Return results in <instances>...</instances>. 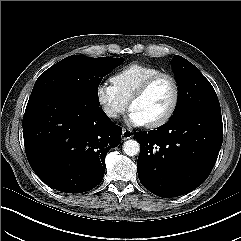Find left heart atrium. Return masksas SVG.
I'll return each instance as SVG.
<instances>
[{
	"label": "left heart atrium",
	"instance_id": "left-heart-atrium-1",
	"mask_svg": "<svg viewBox=\"0 0 241 241\" xmlns=\"http://www.w3.org/2000/svg\"><path fill=\"white\" fill-rule=\"evenodd\" d=\"M128 121L134 126H143L146 125L145 121L134 111L131 110Z\"/></svg>",
	"mask_w": 241,
	"mask_h": 241
}]
</instances>
